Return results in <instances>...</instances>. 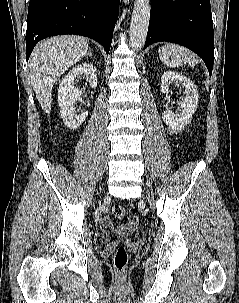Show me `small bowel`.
<instances>
[{
    "label": "small bowel",
    "instance_id": "c3829d8e",
    "mask_svg": "<svg viewBox=\"0 0 239 303\" xmlns=\"http://www.w3.org/2000/svg\"><path fill=\"white\" fill-rule=\"evenodd\" d=\"M102 224H103L106 228H108V229H114V228H115V225H114L112 219H111L110 217H108V216H105V217L102 218ZM137 224H138V219H137V217L132 216V217L130 218V220H129L128 228H129V229H133V228H135V227L137 226Z\"/></svg>",
    "mask_w": 239,
    "mask_h": 303
}]
</instances>
